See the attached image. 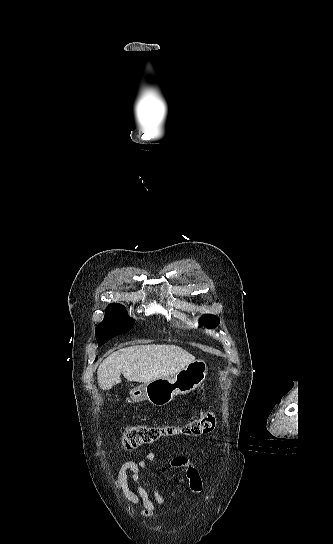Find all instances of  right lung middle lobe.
I'll use <instances>...</instances> for the list:
<instances>
[{"label":"right lung middle lobe","instance_id":"dd1d6c3e","mask_svg":"<svg viewBox=\"0 0 333 544\" xmlns=\"http://www.w3.org/2000/svg\"><path fill=\"white\" fill-rule=\"evenodd\" d=\"M134 322L135 320L127 315L123 305L117 303L108 305L103 321L95 330L98 345L101 346L109 339L128 332L133 327Z\"/></svg>","mask_w":333,"mask_h":544}]
</instances>
